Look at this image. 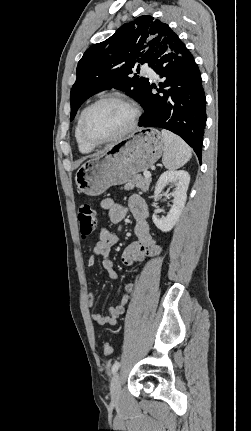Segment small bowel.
Instances as JSON below:
<instances>
[{
	"label": "small bowel",
	"mask_w": 251,
	"mask_h": 431,
	"mask_svg": "<svg viewBox=\"0 0 251 431\" xmlns=\"http://www.w3.org/2000/svg\"><path fill=\"white\" fill-rule=\"evenodd\" d=\"M100 210L103 214H107L108 218L113 223H118L124 220L128 214V210L132 213L136 224L134 228L137 241L129 244L123 254L122 262L126 266H133L138 262L144 261L148 257L156 256L161 249L157 241L150 233L147 223L148 207L146 202L137 195H133L129 199L128 207L114 201L113 199H104L100 202ZM118 236L106 228H101L99 232V240L94 244L91 256L88 259V266L92 267L98 257L102 258V266L107 271L109 277L113 280L118 279L119 275L115 271L113 262L109 258L111 248L118 243ZM135 288L134 283H127L125 290L131 293ZM129 302V295L125 294L121 297L120 302L109 308L108 314L102 315L95 313L92 319L99 325H115L118 318L124 313ZM87 303L90 308L95 305V299L92 293L87 295Z\"/></svg>",
	"instance_id": "1"
}]
</instances>
